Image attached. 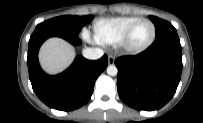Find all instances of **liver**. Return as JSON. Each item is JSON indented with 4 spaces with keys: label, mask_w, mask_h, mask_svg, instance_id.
Masks as SVG:
<instances>
[{
    "label": "liver",
    "mask_w": 203,
    "mask_h": 123,
    "mask_svg": "<svg viewBox=\"0 0 203 123\" xmlns=\"http://www.w3.org/2000/svg\"><path fill=\"white\" fill-rule=\"evenodd\" d=\"M75 57L74 48L61 38H50L39 51L41 67L48 74L64 71Z\"/></svg>",
    "instance_id": "6515ba94"
}]
</instances>
